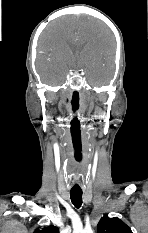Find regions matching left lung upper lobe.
<instances>
[{"mask_svg":"<svg viewBox=\"0 0 148 233\" xmlns=\"http://www.w3.org/2000/svg\"><path fill=\"white\" fill-rule=\"evenodd\" d=\"M97 233H132V231L119 218L104 215L97 225Z\"/></svg>","mask_w":148,"mask_h":233,"instance_id":"obj_1","label":"left lung upper lobe"}]
</instances>
